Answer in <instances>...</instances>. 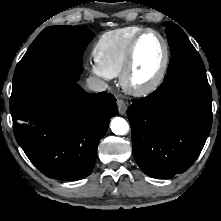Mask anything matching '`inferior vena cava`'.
Listing matches in <instances>:
<instances>
[{
    "label": "inferior vena cava",
    "mask_w": 221,
    "mask_h": 221,
    "mask_svg": "<svg viewBox=\"0 0 221 221\" xmlns=\"http://www.w3.org/2000/svg\"><path fill=\"white\" fill-rule=\"evenodd\" d=\"M87 86L94 92H102L108 88V84L97 77H89L87 79Z\"/></svg>",
    "instance_id": "1"
}]
</instances>
